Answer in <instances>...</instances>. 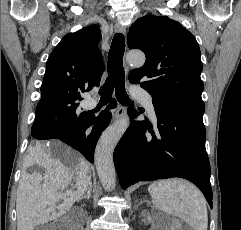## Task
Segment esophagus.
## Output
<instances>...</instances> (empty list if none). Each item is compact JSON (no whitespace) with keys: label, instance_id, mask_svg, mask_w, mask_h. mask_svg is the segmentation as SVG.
<instances>
[{"label":"esophagus","instance_id":"34e87169","mask_svg":"<svg viewBox=\"0 0 241 230\" xmlns=\"http://www.w3.org/2000/svg\"><path fill=\"white\" fill-rule=\"evenodd\" d=\"M115 32L117 33H121V34H124L126 33V28L125 26L121 25V24H118L116 25L115 27ZM127 69V68H126ZM126 115V108L122 105H119L114 116H113V120L114 122L120 120V119H123Z\"/></svg>","mask_w":241,"mask_h":230}]
</instances>
